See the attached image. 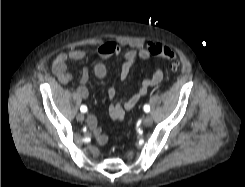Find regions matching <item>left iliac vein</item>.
<instances>
[{
  "instance_id": "obj_1",
  "label": "left iliac vein",
  "mask_w": 245,
  "mask_h": 187,
  "mask_svg": "<svg viewBox=\"0 0 245 187\" xmlns=\"http://www.w3.org/2000/svg\"><path fill=\"white\" fill-rule=\"evenodd\" d=\"M153 122L152 116L147 114L143 120L145 126H150Z\"/></svg>"
}]
</instances>
